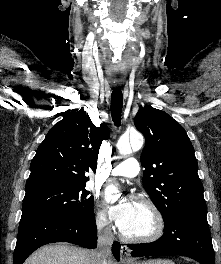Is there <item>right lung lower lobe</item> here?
Returning a JSON list of instances; mask_svg holds the SVG:
<instances>
[{
    "label": "right lung lower lobe",
    "mask_w": 221,
    "mask_h": 264,
    "mask_svg": "<svg viewBox=\"0 0 221 264\" xmlns=\"http://www.w3.org/2000/svg\"><path fill=\"white\" fill-rule=\"evenodd\" d=\"M55 242H69L85 248L97 246V227L94 213L82 218H21L13 264H23L37 248ZM112 253L120 260V244L114 242Z\"/></svg>",
    "instance_id": "98d812e1"
}]
</instances>
